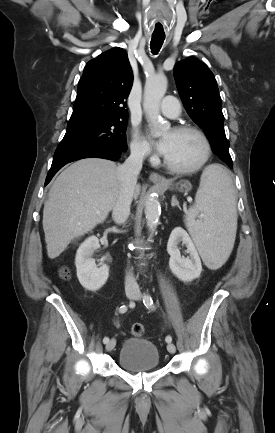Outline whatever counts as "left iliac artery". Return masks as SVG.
I'll list each match as a JSON object with an SVG mask.
<instances>
[{"mask_svg":"<svg viewBox=\"0 0 275 433\" xmlns=\"http://www.w3.org/2000/svg\"><path fill=\"white\" fill-rule=\"evenodd\" d=\"M143 303L148 309H154V303L149 294H144ZM165 340L166 342L170 343L172 341V337L167 336Z\"/></svg>","mask_w":275,"mask_h":433,"instance_id":"left-iliac-artery-1","label":"left iliac artery"}]
</instances>
